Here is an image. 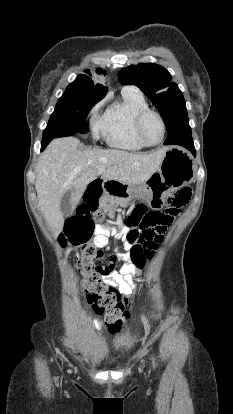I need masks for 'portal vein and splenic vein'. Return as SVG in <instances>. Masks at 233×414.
<instances>
[{"mask_svg": "<svg viewBox=\"0 0 233 414\" xmlns=\"http://www.w3.org/2000/svg\"><path fill=\"white\" fill-rule=\"evenodd\" d=\"M103 162H106V161H104V160H103ZM98 172H99V173H102V172H103V169H102V168H99V169H98Z\"/></svg>", "mask_w": 233, "mask_h": 414, "instance_id": "18ae733b", "label": "portal vein and splenic vein"}]
</instances>
